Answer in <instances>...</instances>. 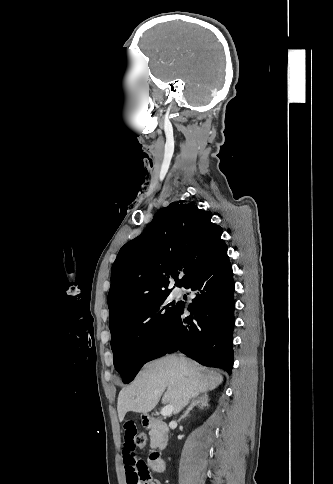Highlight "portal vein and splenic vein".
<instances>
[{"instance_id":"obj_1","label":"portal vein and splenic vein","mask_w":333,"mask_h":484,"mask_svg":"<svg viewBox=\"0 0 333 484\" xmlns=\"http://www.w3.org/2000/svg\"><path fill=\"white\" fill-rule=\"evenodd\" d=\"M173 412V406L172 405H166L165 407L162 408L161 410V415L162 416H169Z\"/></svg>"}]
</instances>
